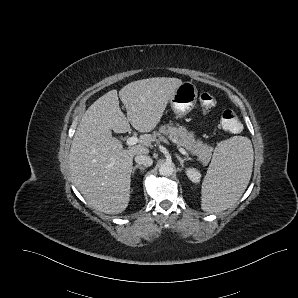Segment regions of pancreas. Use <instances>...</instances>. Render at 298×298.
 Returning <instances> with one entry per match:
<instances>
[{
  "mask_svg": "<svg viewBox=\"0 0 298 298\" xmlns=\"http://www.w3.org/2000/svg\"><path fill=\"white\" fill-rule=\"evenodd\" d=\"M159 142H165L168 137L169 140L175 139L179 146L184 147L190 154L197 156L198 160L203 166H207L212 158L214 148L202 140L196 139L193 131L187 130L186 127L174 125L172 122L159 127L157 132H154Z\"/></svg>",
  "mask_w": 298,
  "mask_h": 298,
  "instance_id": "cf45deb5",
  "label": "pancreas"
}]
</instances>
